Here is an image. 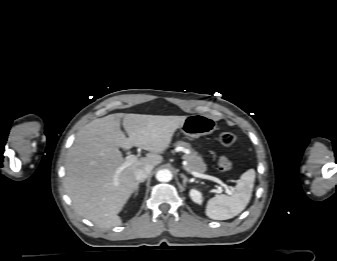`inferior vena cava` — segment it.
<instances>
[{
    "label": "inferior vena cava",
    "mask_w": 337,
    "mask_h": 261,
    "mask_svg": "<svg viewBox=\"0 0 337 261\" xmlns=\"http://www.w3.org/2000/svg\"><path fill=\"white\" fill-rule=\"evenodd\" d=\"M153 169V166L151 165H147L144 167H140L138 169L135 170V179L136 180H145L149 174L151 173Z\"/></svg>",
    "instance_id": "inferior-vena-cava-1"
}]
</instances>
